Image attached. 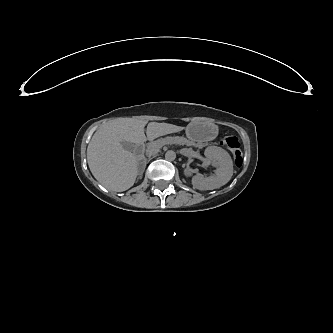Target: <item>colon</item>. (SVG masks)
I'll return each mask as SVG.
<instances>
[{"mask_svg":"<svg viewBox=\"0 0 333 333\" xmlns=\"http://www.w3.org/2000/svg\"><path fill=\"white\" fill-rule=\"evenodd\" d=\"M221 143L231 151L235 165L240 167L243 162V156L238 138L226 136L222 138Z\"/></svg>","mask_w":333,"mask_h":333,"instance_id":"colon-1","label":"colon"}]
</instances>
